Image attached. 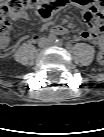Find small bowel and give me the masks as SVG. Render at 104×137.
Wrapping results in <instances>:
<instances>
[{"label": "small bowel", "instance_id": "1", "mask_svg": "<svg viewBox=\"0 0 104 137\" xmlns=\"http://www.w3.org/2000/svg\"><path fill=\"white\" fill-rule=\"evenodd\" d=\"M72 4L80 8L82 17L88 24V29L81 30L77 33L76 39L87 40L102 47L103 39L102 33L104 27L102 24V8L95 3V0H72ZM21 18L27 19L26 15H21ZM52 32L57 35L67 33V29L63 26H55ZM10 43L8 34L0 36V47L6 48Z\"/></svg>", "mask_w": 104, "mask_h": 137}]
</instances>
